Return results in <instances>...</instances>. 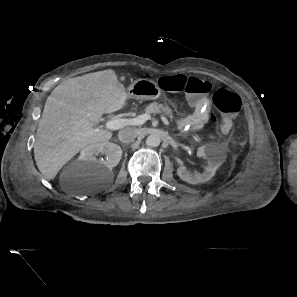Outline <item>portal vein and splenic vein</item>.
I'll return each instance as SVG.
<instances>
[{"mask_svg":"<svg viewBox=\"0 0 297 297\" xmlns=\"http://www.w3.org/2000/svg\"><path fill=\"white\" fill-rule=\"evenodd\" d=\"M165 125L169 126V121L164 116L160 117ZM150 116L147 114H142L132 119H110L106 122L105 128L108 130H119L127 125H142L144 124Z\"/></svg>","mask_w":297,"mask_h":297,"instance_id":"18ae733b","label":"portal vein and splenic vein"}]
</instances>
